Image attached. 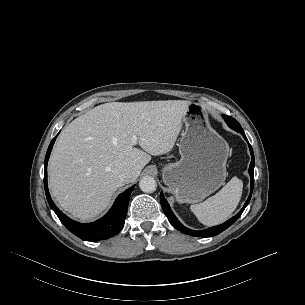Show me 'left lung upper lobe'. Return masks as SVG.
<instances>
[{"label":"left lung upper lobe","instance_id":"1","mask_svg":"<svg viewBox=\"0 0 305 305\" xmlns=\"http://www.w3.org/2000/svg\"><path fill=\"white\" fill-rule=\"evenodd\" d=\"M223 117L230 128L234 129L239 133L243 131L241 125L234 118L226 115H223Z\"/></svg>","mask_w":305,"mask_h":305}]
</instances>
